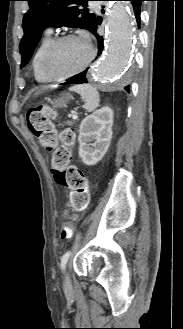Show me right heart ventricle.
Instances as JSON below:
<instances>
[{
    "mask_svg": "<svg viewBox=\"0 0 183 329\" xmlns=\"http://www.w3.org/2000/svg\"><path fill=\"white\" fill-rule=\"evenodd\" d=\"M52 41L53 37L51 36V34L46 33L45 36L42 38L41 42L39 43L38 47L36 48L32 58V69L34 77L40 83H47L50 81L43 71L42 59L47 47Z\"/></svg>",
    "mask_w": 183,
    "mask_h": 329,
    "instance_id": "e07e8e85",
    "label": "right heart ventricle"
}]
</instances>
